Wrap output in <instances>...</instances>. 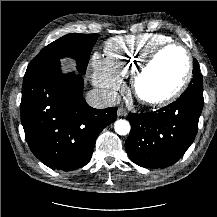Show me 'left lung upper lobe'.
Here are the masks:
<instances>
[{
    "label": "left lung upper lobe",
    "mask_w": 217,
    "mask_h": 217,
    "mask_svg": "<svg viewBox=\"0 0 217 217\" xmlns=\"http://www.w3.org/2000/svg\"><path fill=\"white\" fill-rule=\"evenodd\" d=\"M203 76L200 73L199 64L196 59L193 60V79L191 80L188 88L203 92Z\"/></svg>",
    "instance_id": "1"
}]
</instances>
